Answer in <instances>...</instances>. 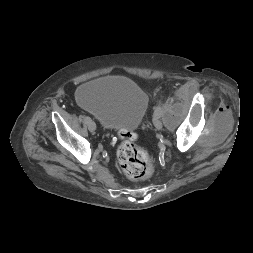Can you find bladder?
I'll list each match as a JSON object with an SVG mask.
<instances>
[{
    "label": "bladder",
    "mask_w": 253,
    "mask_h": 253,
    "mask_svg": "<svg viewBox=\"0 0 253 253\" xmlns=\"http://www.w3.org/2000/svg\"><path fill=\"white\" fill-rule=\"evenodd\" d=\"M78 104L97 117L108 130L132 131L142 121L148 106L147 93L126 77H101L81 84Z\"/></svg>",
    "instance_id": "31cf9c89"
}]
</instances>
